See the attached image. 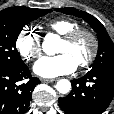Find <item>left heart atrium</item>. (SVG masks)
<instances>
[{
	"instance_id": "39dd6f15",
	"label": "left heart atrium",
	"mask_w": 114,
	"mask_h": 114,
	"mask_svg": "<svg viewBox=\"0 0 114 114\" xmlns=\"http://www.w3.org/2000/svg\"><path fill=\"white\" fill-rule=\"evenodd\" d=\"M77 63L68 53L56 56H44L37 60L33 66L34 72L44 78H53L70 74L77 69Z\"/></svg>"
}]
</instances>
